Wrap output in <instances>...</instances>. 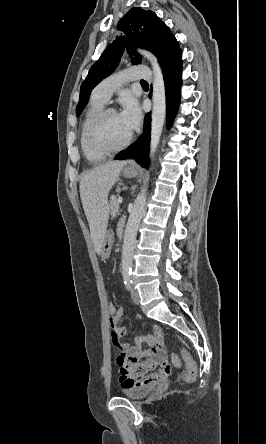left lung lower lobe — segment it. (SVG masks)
<instances>
[{
    "instance_id": "1",
    "label": "left lung lower lobe",
    "mask_w": 266,
    "mask_h": 444,
    "mask_svg": "<svg viewBox=\"0 0 266 444\" xmlns=\"http://www.w3.org/2000/svg\"><path fill=\"white\" fill-rule=\"evenodd\" d=\"M165 81V93L167 104V115L169 124L174 119L180 99L181 73H182V53L173 60L166 63L163 67ZM151 117L150 113L145 116V128L143 134L132 144L126 152L116 156L117 160L135 159L138 164L147 167L148 152L150 143Z\"/></svg>"
}]
</instances>
